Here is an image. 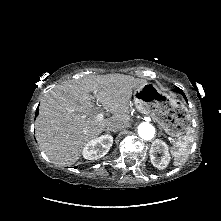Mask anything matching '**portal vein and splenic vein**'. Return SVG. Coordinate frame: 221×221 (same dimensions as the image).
Listing matches in <instances>:
<instances>
[{"label":"portal vein and splenic vein","instance_id":"1","mask_svg":"<svg viewBox=\"0 0 221 221\" xmlns=\"http://www.w3.org/2000/svg\"><path fill=\"white\" fill-rule=\"evenodd\" d=\"M94 94H96V91H95ZM92 98L94 99V97H92ZM96 119L97 120H103L104 119V115L102 113H99V114H97Z\"/></svg>","mask_w":221,"mask_h":221}]
</instances>
